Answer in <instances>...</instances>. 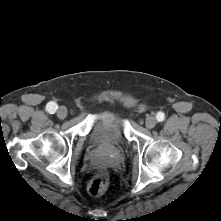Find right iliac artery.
Listing matches in <instances>:
<instances>
[{"instance_id": "82829eb1", "label": "right iliac artery", "mask_w": 221, "mask_h": 221, "mask_svg": "<svg viewBox=\"0 0 221 221\" xmlns=\"http://www.w3.org/2000/svg\"><path fill=\"white\" fill-rule=\"evenodd\" d=\"M58 106L56 103L54 102H49L47 105H46V110L50 113V114H53L56 112Z\"/></svg>"}]
</instances>
